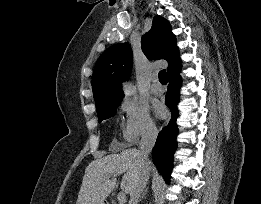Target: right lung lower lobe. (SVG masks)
<instances>
[{
  "label": "right lung lower lobe",
  "instance_id": "1",
  "mask_svg": "<svg viewBox=\"0 0 261 204\" xmlns=\"http://www.w3.org/2000/svg\"><path fill=\"white\" fill-rule=\"evenodd\" d=\"M180 70L181 66L168 74L169 85L166 94V105L169 107L172 116L168 125L159 133L152 151L153 162L167 182L172 170L173 154L177 147L176 135L178 129L176 119L178 117L177 104L179 102V89L181 86Z\"/></svg>",
  "mask_w": 261,
  "mask_h": 204
}]
</instances>
